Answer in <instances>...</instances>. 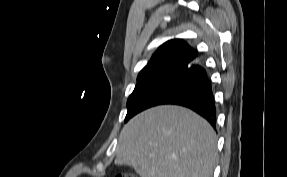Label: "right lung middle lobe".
<instances>
[{
  "label": "right lung middle lobe",
  "mask_w": 287,
  "mask_h": 177,
  "mask_svg": "<svg viewBox=\"0 0 287 177\" xmlns=\"http://www.w3.org/2000/svg\"><path fill=\"white\" fill-rule=\"evenodd\" d=\"M180 65L181 62L179 60H166L144 67L138 75L137 85L133 93L128 98V110L133 105V103L152 85V83H154L158 78L167 72L179 67ZM131 115V112L127 113L125 122L131 118Z\"/></svg>",
  "instance_id": "obj_1"
}]
</instances>
